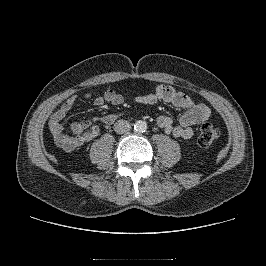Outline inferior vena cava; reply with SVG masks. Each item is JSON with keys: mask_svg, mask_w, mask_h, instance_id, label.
I'll use <instances>...</instances> for the list:
<instances>
[{"mask_svg": "<svg viewBox=\"0 0 266 266\" xmlns=\"http://www.w3.org/2000/svg\"><path fill=\"white\" fill-rule=\"evenodd\" d=\"M131 129V124L126 120H118L114 124V130L118 134H123L129 132Z\"/></svg>", "mask_w": 266, "mask_h": 266, "instance_id": "obj_1", "label": "inferior vena cava"}]
</instances>
